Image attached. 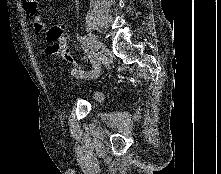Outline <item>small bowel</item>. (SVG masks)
I'll return each instance as SVG.
<instances>
[{"label":"small bowel","instance_id":"c3829d8e","mask_svg":"<svg viewBox=\"0 0 221 174\" xmlns=\"http://www.w3.org/2000/svg\"><path fill=\"white\" fill-rule=\"evenodd\" d=\"M24 2H25L27 12L29 14V17L31 19V22H32V25H33L35 31L38 33L44 32L46 27L41 19V16H40L38 0H24ZM52 28H56V29L60 30L63 34L65 24L60 23V24L55 25ZM46 43H52V42L49 41L46 37ZM52 47L53 46H51V45L46 47V50H45L46 54H48V55L55 54L52 50Z\"/></svg>","mask_w":221,"mask_h":174}]
</instances>
